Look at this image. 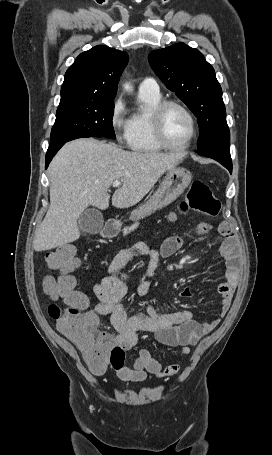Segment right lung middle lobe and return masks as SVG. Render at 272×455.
<instances>
[{
	"instance_id": "dd1d6c3e",
	"label": "right lung middle lobe",
	"mask_w": 272,
	"mask_h": 455,
	"mask_svg": "<svg viewBox=\"0 0 272 455\" xmlns=\"http://www.w3.org/2000/svg\"><path fill=\"white\" fill-rule=\"evenodd\" d=\"M114 101L60 102L52 127L50 146L84 137L115 139Z\"/></svg>"
}]
</instances>
